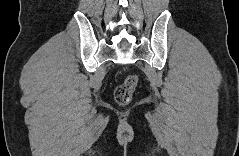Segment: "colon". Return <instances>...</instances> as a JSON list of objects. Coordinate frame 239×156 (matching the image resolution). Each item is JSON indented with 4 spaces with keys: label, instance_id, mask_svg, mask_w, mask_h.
<instances>
[{
    "label": "colon",
    "instance_id": "1",
    "mask_svg": "<svg viewBox=\"0 0 239 156\" xmlns=\"http://www.w3.org/2000/svg\"><path fill=\"white\" fill-rule=\"evenodd\" d=\"M136 75H129L119 84L115 90V100L119 105H126L131 100L132 94L137 86Z\"/></svg>",
    "mask_w": 239,
    "mask_h": 156
}]
</instances>
